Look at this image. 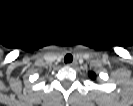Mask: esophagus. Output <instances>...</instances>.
Here are the masks:
<instances>
[{
    "label": "esophagus",
    "instance_id": "obj_1",
    "mask_svg": "<svg viewBox=\"0 0 133 106\" xmlns=\"http://www.w3.org/2000/svg\"><path fill=\"white\" fill-rule=\"evenodd\" d=\"M77 65V62L68 63L67 66L69 67H75Z\"/></svg>",
    "mask_w": 133,
    "mask_h": 106
}]
</instances>
